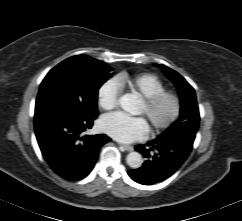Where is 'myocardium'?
<instances>
[{
  "mask_svg": "<svg viewBox=\"0 0 242 221\" xmlns=\"http://www.w3.org/2000/svg\"><path fill=\"white\" fill-rule=\"evenodd\" d=\"M163 101H169L171 110L168 116L161 121H149L150 127L154 132H161L170 128L178 119L181 111V101L179 96L171 91L163 90L151 96L143 97L142 103L145 108V114L149 116L151 112Z\"/></svg>",
  "mask_w": 242,
  "mask_h": 221,
  "instance_id": "myocardium-1",
  "label": "myocardium"
}]
</instances>
